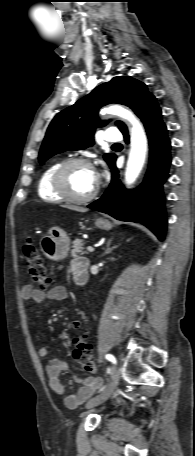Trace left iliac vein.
<instances>
[{
  "label": "left iliac vein",
  "mask_w": 195,
  "mask_h": 456,
  "mask_svg": "<svg viewBox=\"0 0 195 456\" xmlns=\"http://www.w3.org/2000/svg\"><path fill=\"white\" fill-rule=\"evenodd\" d=\"M119 378H120L119 373H118L117 369L115 368L111 383L108 385V387L102 393H100L96 397L89 400L86 404V408H88V409L93 408V407L98 406V405L102 404L103 402H105L113 394L114 390L116 389V387L119 383Z\"/></svg>",
  "instance_id": "obj_1"
}]
</instances>
